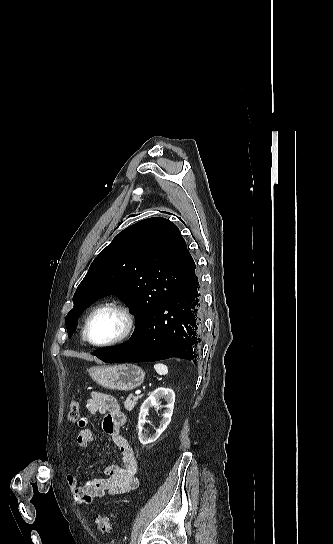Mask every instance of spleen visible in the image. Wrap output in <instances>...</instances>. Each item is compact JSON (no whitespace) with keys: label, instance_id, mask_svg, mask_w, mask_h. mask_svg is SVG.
<instances>
[{"label":"spleen","instance_id":"3e777b00","mask_svg":"<svg viewBox=\"0 0 333 544\" xmlns=\"http://www.w3.org/2000/svg\"><path fill=\"white\" fill-rule=\"evenodd\" d=\"M154 369L159 375H166L168 373L167 366L162 363L155 364Z\"/></svg>","mask_w":333,"mask_h":544}]
</instances>
